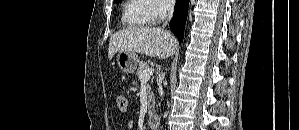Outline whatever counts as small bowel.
Masks as SVG:
<instances>
[{
    "instance_id": "small-bowel-1",
    "label": "small bowel",
    "mask_w": 299,
    "mask_h": 130,
    "mask_svg": "<svg viewBox=\"0 0 299 130\" xmlns=\"http://www.w3.org/2000/svg\"><path fill=\"white\" fill-rule=\"evenodd\" d=\"M134 126H135V124H134V121H132V120H129V121L127 122V124H126V128H127L128 130L133 129Z\"/></svg>"
}]
</instances>
